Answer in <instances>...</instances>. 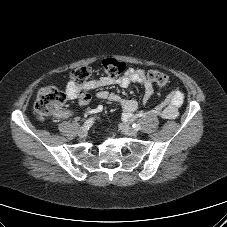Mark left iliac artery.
<instances>
[{"label": "left iliac artery", "instance_id": "obj_1", "mask_svg": "<svg viewBox=\"0 0 227 227\" xmlns=\"http://www.w3.org/2000/svg\"><path fill=\"white\" fill-rule=\"evenodd\" d=\"M132 126H133V128H134L135 130H140V129H141L140 124L134 123Z\"/></svg>", "mask_w": 227, "mask_h": 227}]
</instances>
